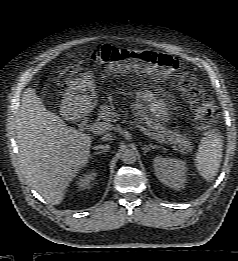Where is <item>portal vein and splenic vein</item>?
Returning a JSON list of instances; mask_svg holds the SVG:
<instances>
[{"mask_svg": "<svg viewBox=\"0 0 238 261\" xmlns=\"http://www.w3.org/2000/svg\"><path fill=\"white\" fill-rule=\"evenodd\" d=\"M128 123L135 125L140 131H142L145 135H147L151 139L162 142L154 135V133L150 132L146 127H144V126H142V125H140V124H138L137 122H134V121H128ZM113 129H114L113 125L110 124V123H107V122H96V123H93L90 126L91 132H93L95 134H104L107 131H110V130H113Z\"/></svg>", "mask_w": 238, "mask_h": 261, "instance_id": "1", "label": "portal vein and splenic vein"}]
</instances>
